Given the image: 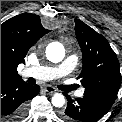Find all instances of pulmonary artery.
Here are the masks:
<instances>
[{"mask_svg": "<svg viewBox=\"0 0 122 122\" xmlns=\"http://www.w3.org/2000/svg\"><path fill=\"white\" fill-rule=\"evenodd\" d=\"M78 62L77 55H69L61 64L55 67L49 66H34L23 70L24 76L34 77L39 80H52L54 78L68 75L74 70ZM82 90L77 92L78 97H82Z\"/></svg>", "mask_w": 122, "mask_h": 122, "instance_id": "e3ab8cb5", "label": "pulmonary artery"}]
</instances>
